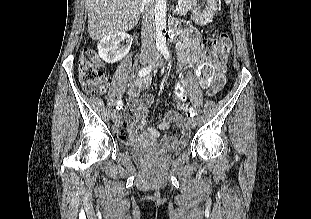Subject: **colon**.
Instances as JSON below:
<instances>
[{"label":"colon","mask_w":311,"mask_h":219,"mask_svg":"<svg viewBox=\"0 0 311 219\" xmlns=\"http://www.w3.org/2000/svg\"><path fill=\"white\" fill-rule=\"evenodd\" d=\"M231 49V41L227 34L207 37L202 42V52L207 58L199 72V79L203 86L210 83L215 75L224 78V63ZM79 79L86 92L101 93L105 90L107 76L103 70L101 60L94 49L86 48L80 57ZM126 140V137L122 136Z\"/></svg>","instance_id":"5ec220e1"}]
</instances>
